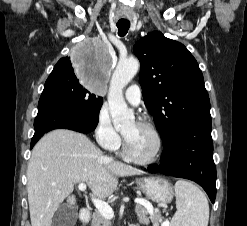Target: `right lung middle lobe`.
Returning <instances> with one entry per match:
<instances>
[{
    "instance_id": "obj_1",
    "label": "right lung middle lobe",
    "mask_w": 247,
    "mask_h": 226,
    "mask_svg": "<svg viewBox=\"0 0 247 226\" xmlns=\"http://www.w3.org/2000/svg\"><path fill=\"white\" fill-rule=\"evenodd\" d=\"M72 62L69 60L59 67H54L45 82L42 94L55 95L98 117L103 103L102 97L90 89H83V86H79V78H76V70H72Z\"/></svg>"
}]
</instances>
